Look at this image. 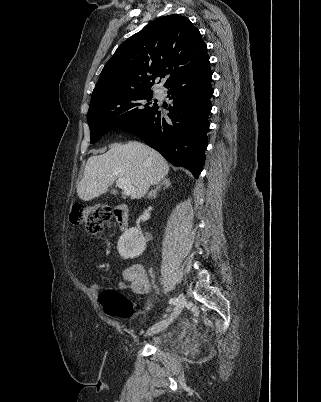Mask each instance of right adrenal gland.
<instances>
[{
    "instance_id": "2a0ac1e0",
    "label": "right adrenal gland",
    "mask_w": 321,
    "mask_h": 402,
    "mask_svg": "<svg viewBox=\"0 0 321 402\" xmlns=\"http://www.w3.org/2000/svg\"><path fill=\"white\" fill-rule=\"evenodd\" d=\"M171 185L170 180L168 178H164L163 181L154 189L151 190L147 196V198H155L157 190H159L162 186L163 188H168Z\"/></svg>"
}]
</instances>
